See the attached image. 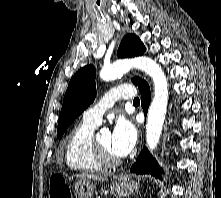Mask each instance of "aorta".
<instances>
[{"instance_id": "obj_1", "label": "aorta", "mask_w": 221, "mask_h": 198, "mask_svg": "<svg viewBox=\"0 0 221 198\" xmlns=\"http://www.w3.org/2000/svg\"><path fill=\"white\" fill-rule=\"evenodd\" d=\"M132 67L147 73L154 83V97L149 107L146 125V142L150 151L156 149L162 133V127L168 104V84L162 68L149 57H137L129 60H120L100 71V78L112 81Z\"/></svg>"}]
</instances>
